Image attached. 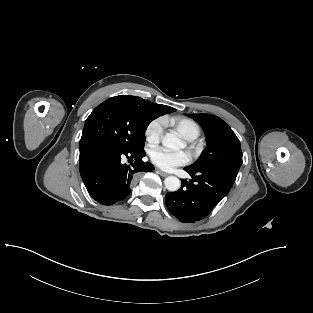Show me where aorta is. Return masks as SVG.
<instances>
[{
  "label": "aorta",
  "instance_id": "1",
  "mask_svg": "<svg viewBox=\"0 0 313 313\" xmlns=\"http://www.w3.org/2000/svg\"><path fill=\"white\" fill-rule=\"evenodd\" d=\"M162 144L166 148L176 149L181 147L182 141L176 133H167L162 138ZM164 185L167 190L174 192L180 188L181 182L175 176H169L165 178Z\"/></svg>",
  "mask_w": 313,
  "mask_h": 313
}]
</instances>
